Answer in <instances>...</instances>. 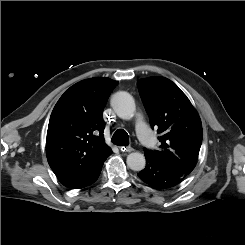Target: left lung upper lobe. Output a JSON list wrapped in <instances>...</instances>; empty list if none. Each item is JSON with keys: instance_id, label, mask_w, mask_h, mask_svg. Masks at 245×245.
<instances>
[{"instance_id": "1", "label": "left lung upper lobe", "mask_w": 245, "mask_h": 245, "mask_svg": "<svg viewBox=\"0 0 245 245\" xmlns=\"http://www.w3.org/2000/svg\"><path fill=\"white\" fill-rule=\"evenodd\" d=\"M137 84L150 124L161 134V149H145V156L189 175L197 164L203 139L197 111L167 78L150 77L138 80Z\"/></svg>"}]
</instances>
